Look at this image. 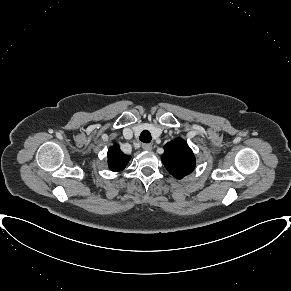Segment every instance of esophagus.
Wrapping results in <instances>:
<instances>
[{
	"mask_svg": "<svg viewBox=\"0 0 291 291\" xmlns=\"http://www.w3.org/2000/svg\"><path fill=\"white\" fill-rule=\"evenodd\" d=\"M142 148L145 150V151H150L152 150V145L149 144V143H145L142 145Z\"/></svg>",
	"mask_w": 291,
	"mask_h": 291,
	"instance_id": "esophagus-1",
	"label": "esophagus"
}]
</instances>
